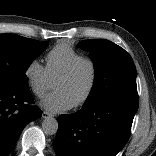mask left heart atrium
Listing matches in <instances>:
<instances>
[{
  "instance_id": "1",
  "label": "left heart atrium",
  "mask_w": 156,
  "mask_h": 156,
  "mask_svg": "<svg viewBox=\"0 0 156 156\" xmlns=\"http://www.w3.org/2000/svg\"><path fill=\"white\" fill-rule=\"evenodd\" d=\"M41 105L50 113L64 112L73 107V103L60 91L48 94Z\"/></svg>"
}]
</instances>
